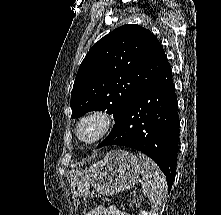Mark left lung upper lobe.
I'll list each match as a JSON object with an SVG mask.
<instances>
[{"label": "left lung upper lobe", "instance_id": "1", "mask_svg": "<svg viewBox=\"0 0 221 215\" xmlns=\"http://www.w3.org/2000/svg\"><path fill=\"white\" fill-rule=\"evenodd\" d=\"M167 65L161 43L149 30L138 25L116 28L82 61L71 92V118L107 110L116 122Z\"/></svg>", "mask_w": 221, "mask_h": 215}]
</instances>
